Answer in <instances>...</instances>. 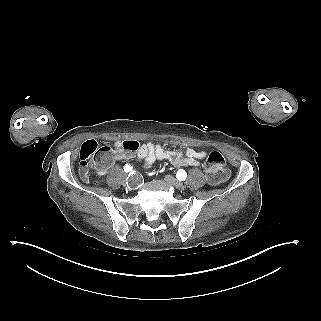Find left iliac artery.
<instances>
[{"mask_svg": "<svg viewBox=\"0 0 321 321\" xmlns=\"http://www.w3.org/2000/svg\"><path fill=\"white\" fill-rule=\"evenodd\" d=\"M187 176V173L184 170H179L176 174L177 179L179 180H185Z\"/></svg>", "mask_w": 321, "mask_h": 321, "instance_id": "44dca946", "label": "left iliac artery"}]
</instances>
